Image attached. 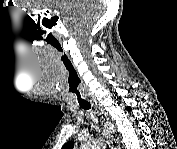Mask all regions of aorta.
<instances>
[{
    "label": "aorta",
    "mask_w": 177,
    "mask_h": 149,
    "mask_svg": "<svg viewBox=\"0 0 177 149\" xmlns=\"http://www.w3.org/2000/svg\"><path fill=\"white\" fill-rule=\"evenodd\" d=\"M102 147V141L97 140L94 141L92 144H86L83 146V149H101Z\"/></svg>",
    "instance_id": "aorta-1"
}]
</instances>
